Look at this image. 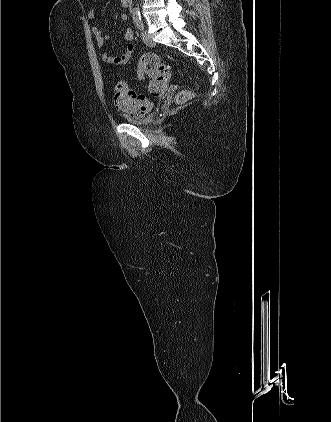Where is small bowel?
<instances>
[{
  "label": "small bowel",
  "instance_id": "small-bowel-1",
  "mask_svg": "<svg viewBox=\"0 0 331 422\" xmlns=\"http://www.w3.org/2000/svg\"><path fill=\"white\" fill-rule=\"evenodd\" d=\"M88 16L90 19H95L96 10L91 9L88 13ZM121 18L122 20H126L127 16L125 14H122ZM91 31L95 38L97 46L101 49V58L104 64H106L107 66H120L126 64L130 60L135 49V44L133 42L134 32L132 29L128 28L124 32V38L128 43L126 46V50L120 55H110L104 51V46L106 41L109 39V35L104 34L100 27L94 25Z\"/></svg>",
  "mask_w": 331,
  "mask_h": 422
}]
</instances>
